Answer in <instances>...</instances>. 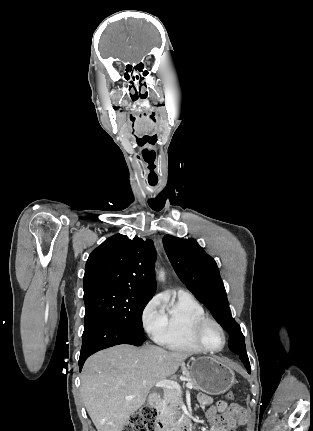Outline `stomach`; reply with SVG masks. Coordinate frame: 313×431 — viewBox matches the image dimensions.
<instances>
[{
	"instance_id": "1",
	"label": "stomach",
	"mask_w": 313,
	"mask_h": 431,
	"mask_svg": "<svg viewBox=\"0 0 313 431\" xmlns=\"http://www.w3.org/2000/svg\"><path fill=\"white\" fill-rule=\"evenodd\" d=\"M188 370L190 376L199 385V389L210 395L225 393L236 381L232 368L215 357L193 358Z\"/></svg>"
}]
</instances>
